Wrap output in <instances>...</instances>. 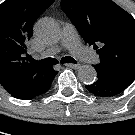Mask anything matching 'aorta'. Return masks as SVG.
<instances>
[{
    "label": "aorta",
    "mask_w": 135,
    "mask_h": 135,
    "mask_svg": "<svg viewBox=\"0 0 135 135\" xmlns=\"http://www.w3.org/2000/svg\"><path fill=\"white\" fill-rule=\"evenodd\" d=\"M35 34L45 43H57L60 39V28L54 21L44 19L36 24ZM96 76L97 72L91 65H84L78 70V78L85 84L93 83Z\"/></svg>",
    "instance_id": "1"
}]
</instances>
